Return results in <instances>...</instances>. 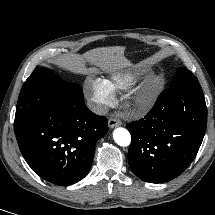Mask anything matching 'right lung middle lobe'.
Instances as JSON below:
<instances>
[{"mask_svg":"<svg viewBox=\"0 0 215 215\" xmlns=\"http://www.w3.org/2000/svg\"><path fill=\"white\" fill-rule=\"evenodd\" d=\"M71 84L64 82L51 70L36 67L24 83L18 98L14 121L15 132L35 116L49 95Z\"/></svg>","mask_w":215,"mask_h":215,"instance_id":"1","label":"right lung middle lobe"}]
</instances>
